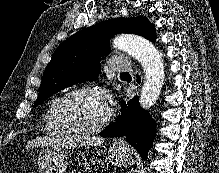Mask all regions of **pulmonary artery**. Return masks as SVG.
<instances>
[{"instance_id":"e3ab8cb5","label":"pulmonary artery","mask_w":219,"mask_h":173,"mask_svg":"<svg viewBox=\"0 0 219 173\" xmlns=\"http://www.w3.org/2000/svg\"><path fill=\"white\" fill-rule=\"evenodd\" d=\"M110 68L114 71H128L131 69V63L128 58L113 57L110 60Z\"/></svg>"}]
</instances>
